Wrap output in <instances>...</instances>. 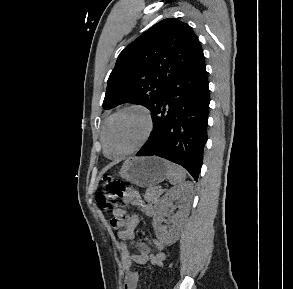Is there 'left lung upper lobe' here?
<instances>
[{
    "label": "left lung upper lobe",
    "instance_id": "left-lung-upper-lobe-1",
    "mask_svg": "<svg viewBox=\"0 0 293 289\" xmlns=\"http://www.w3.org/2000/svg\"><path fill=\"white\" fill-rule=\"evenodd\" d=\"M201 52L188 24L175 18L156 23L120 53L108 79L104 109L134 103L151 110Z\"/></svg>",
    "mask_w": 293,
    "mask_h": 289
}]
</instances>
